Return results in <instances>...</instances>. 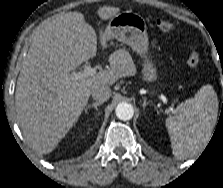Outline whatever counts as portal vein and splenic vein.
Returning <instances> with one entry per match:
<instances>
[{"label":"portal vein and splenic vein","mask_w":223,"mask_h":188,"mask_svg":"<svg viewBox=\"0 0 223 188\" xmlns=\"http://www.w3.org/2000/svg\"><path fill=\"white\" fill-rule=\"evenodd\" d=\"M97 73V69L96 68H92L90 64H85L84 69L80 72H73L71 74L68 75V78L70 80H81L83 78L89 77V76H93ZM161 99L166 103V97L163 94H160Z\"/></svg>","instance_id":"obj_1"}]
</instances>
